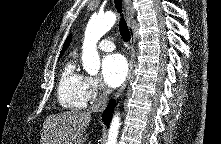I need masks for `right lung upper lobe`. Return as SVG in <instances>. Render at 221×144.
Masks as SVG:
<instances>
[{
  "label": "right lung upper lobe",
  "instance_id": "obj_1",
  "mask_svg": "<svg viewBox=\"0 0 221 144\" xmlns=\"http://www.w3.org/2000/svg\"><path fill=\"white\" fill-rule=\"evenodd\" d=\"M71 39H72V34H70L69 37L66 39V41L64 43V46H63V49L61 51V55L66 50V48L69 46Z\"/></svg>",
  "mask_w": 221,
  "mask_h": 144
}]
</instances>
